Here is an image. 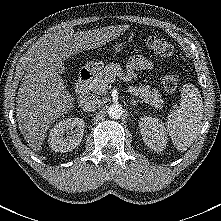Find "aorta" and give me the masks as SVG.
I'll return each mask as SVG.
<instances>
[{"mask_svg":"<svg viewBox=\"0 0 221 221\" xmlns=\"http://www.w3.org/2000/svg\"><path fill=\"white\" fill-rule=\"evenodd\" d=\"M123 114V108L120 104H112L108 108V115L112 119H119Z\"/></svg>","mask_w":221,"mask_h":221,"instance_id":"762f6f07","label":"aorta"}]
</instances>
